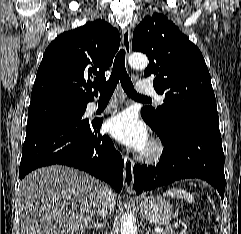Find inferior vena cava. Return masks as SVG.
Segmentation results:
<instances>
[{"instance_id": "obj_1", "label": "inferior vena cava", "mask_w": 241, "mask_h": 234, "mask_svg": "<svg viewBox=\"0 0 241 234\" xmlns=\"http://www.w3.org/2000/svg\"><path fill=\"white\" fill-rule=\"evenodd\" d=\"M101 196L102 200L98 213L104 219V217H106L114 209L115 195L113 194L111 188L108 186H103L101 190Z\"/></svg>"}]
</instances>
